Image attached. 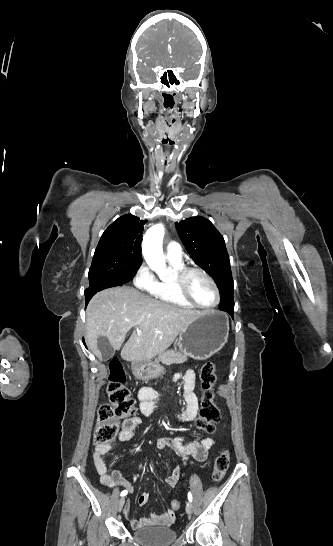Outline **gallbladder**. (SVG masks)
Returning <instances> with one entry per match:
<instances>
[{
	"mask_svg": "<svg viewBox=\"0 0 333 546\" xmlns=\"http://www.w3.org/2000/svg\"><path fill=\"white\" fill-rule=\"evenodd\" d=\"M98 350L102 355L103 361H109L115 355V349L111 346L107 337L100 336L97 342Z\"/></svg>",
	"mask_w": 333,
	"mask_h": 546,
	"instance_id": "1",
	"label": "gallbladder"
}]
</instances>
